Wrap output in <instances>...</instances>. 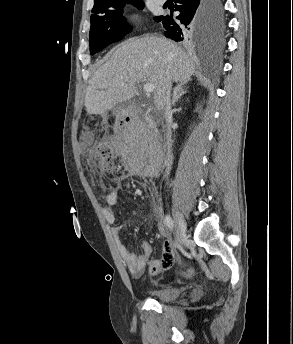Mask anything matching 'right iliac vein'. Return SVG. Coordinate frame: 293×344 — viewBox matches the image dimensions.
Wrapping results in <instances>:
<instances>
[{"label": "right iliac vein", "mask_w": 293, "mask_h": 344, "mask_svg": "<svg viewBox=\"0 0 293 344\" xmlns=\"http://www.w3.org/2000/svg\"><path fill=\"white\" fill-rule=\"evenodd\" d=\"M174 220H175L177 236L180 239L185 238L187 234L186 223L181 213L177 210L174 211Z\"/></svg>", "instance_id": "63e3f726"}]
</instances>
